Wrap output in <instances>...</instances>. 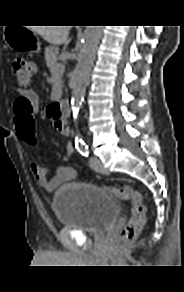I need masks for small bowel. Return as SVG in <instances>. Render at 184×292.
Listing matches in <instances>:
<instances>
[{"instance_id": "obj_1", "label": "small bowel", "mask_w": 184, "mask_h": 292, "mask_svg": "<svg viewBox=\"0 0 184 292\" xmlns=\"http://www.w3.org/2000/svg\"><path fill=\"white\" fill-rule=\"evenodd\" d=\"M54 126L59 130V132L64 135L68 136L70 134V128L63 122H54ZM16 129H17V134L19 139L27 146H29L23 139L20 130L16 124ZM74 151V147L71 143H67L66 145V154L63 156V161H67L71 154ZM31 170L37 179L38 183L43 186L46 190L48 191H53L62 184L69 182L73 180L76 176L77 173L76 171L71 167L67 165H62L59 166L55 172V174L49 178L48 177V171L47 169L41 167L35 160L31 162Z\"/></svg>"}]
</instances>
